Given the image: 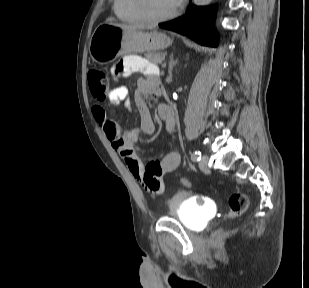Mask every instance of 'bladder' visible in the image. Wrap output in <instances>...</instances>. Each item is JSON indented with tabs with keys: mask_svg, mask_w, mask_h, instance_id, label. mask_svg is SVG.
<instances>
[{
	"mask_svg": "<svg viewBox=\"0 0 309 288\" xmlns=\"http://www.w3.org/2000/svg\"><path fill=\"white\" fill-rule=\"evenodd\" d=\"M169 214L176 217L185 227L199 232L209 222L213 207L200 197H191L185 192L175 193L166 202Z\"/></svg>",
	"mask_w": 309,
	"mask_h": 288,
	"instance_id": "bladder-1",
	"label": "bladder"
}]
</instances>
